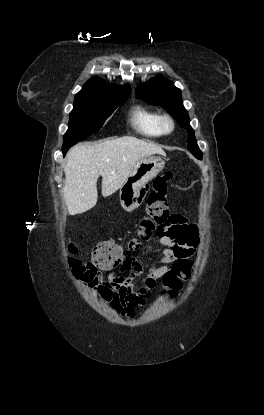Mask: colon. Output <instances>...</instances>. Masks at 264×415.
<instances>
[{"instance_id": "colon-1", "label": "colon", "mask_w": 264, "mask_h": 415, "mask_svg": "<svg viewBox=\"0 0 264 415\" xmlns=\"http://www.w3.org/2000/svg\"><path fill=\"white\" fill-rule=\"evenodd\" d=\"M171 171L164 172L156 178L155 188L148 198L146 216L143 218L139 227V239L129 240L122 244L116 240H107L98 243L92 251L91 258L84 261L76 256L75 247L69 246L70 268L75 273L87 271L96 274L102 270H110L126 259L127 251L136 249L138 242L148 240L153 234L159 237L167 236L172 233V216L169 215L168 207V187L172 180ZM190 267L187 261H177L173 264L170 272L163 279V293L170 297H175L182 287L183 276ZM127 295L125 288L120 289L115 299L122 301Z\"/></svg>"}]
</instances>
